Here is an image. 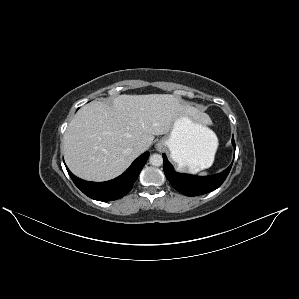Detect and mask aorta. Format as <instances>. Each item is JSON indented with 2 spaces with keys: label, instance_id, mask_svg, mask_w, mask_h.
Wrapping results in <instances>:
<instances>
[{
  "label": "aorta",
  "instance_id": "aorta-1",
  "mask_svg": "<svg viewBox=\"0 0 299 299\" xmlns=\"http://www.w3.org/2000/svg\"><path fill=\"white\" fill-rule=\"evenodd\" d=\"M149 162L152 166L158 167L163 164V158L160 154H153L150 156Z\"/></svg>",
  "mask_w": 299,
  "mask_h": 299
}]
</instances>
